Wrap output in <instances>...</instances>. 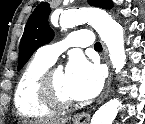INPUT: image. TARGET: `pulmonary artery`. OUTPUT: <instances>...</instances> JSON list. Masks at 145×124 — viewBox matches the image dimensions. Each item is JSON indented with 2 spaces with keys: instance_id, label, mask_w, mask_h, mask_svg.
<instances>
[{
  "instance_id": "obj_1",
  "label": "pulmonary artery",
  "mask_w": 145,
  "mask_h": 124,
  "mask_svg": "<svg viewBox=\"0 0 145 124\" xmlns=\"http://www.w3.org/2000/svg\"><path fill=\"white\" fill-rule=\"evenodd\" d=\"M92 47L93 38L90 30L82 29L70 33L64 40L41 47L37 55L50 63H54L57 57L68 47Z\"/></svg>"
}]
</instances>
